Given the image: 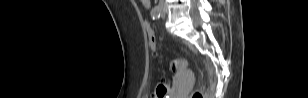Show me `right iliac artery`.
<instances>
[{
    "label": "right iliac artery",
    "instance_id": "1",
    "mask_svg": "<svg viewBox=\"0 0 308 98\" xmlns=\"http://www.w3.org/2000/svg\"><path fill=\"white\" fill-rule=\"evenodd\" d=\"M161 10L159 6H155L151 11V17L155 20L160 17Z\"/></svg>",
    "mask_w": 308,
    "mask_h": 98
}]
</instances>
